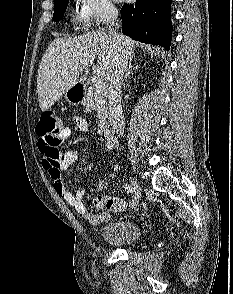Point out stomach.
Listing matches in <instances>:
<instances>
[{
    "instance_id": "stomach-1",
    "label": "stomach",
    "mask_w": 233,
    "mask_h": 294,
    "mask_svg": "<svg viewBox=\"0 0 233 294\" xmlns=\"http://www.w3.org/2000/svg\"><path fill=\"white\" fill-rule=\"evenodd\" d=\"M66 98L70 103L83 102V94L75 87H72L66 92Z\"/></svg>"
}]
</instances>
